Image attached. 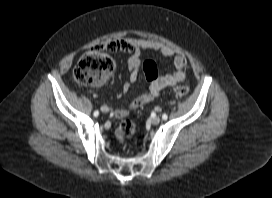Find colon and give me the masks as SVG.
<instances>
[{
  "instance_id": "colon-1",
  "label": "colon",
  "mask_w": 272,
  "mask_h": 198,
  "mask_svg": "<svg viewBox=\"0 0 272 198\" xmlns=\"http://www.w3.org/2000/svg\"><path fill=\"white\" fill-rule=\"evenodd\" d=\"M104 50L98 48L83 54L73 70L74 81L83 86L98 85L103 83L115 69V61ZM109 51V50H108ZM143 75H156L157 67L153 61H146L142 68ZM173 92L177 96H185L189 92L187 86H176ZM136 133V127L130 120H124L116 131V138L119 142L131 138Z\"/></svg>"
}]
</instances>
